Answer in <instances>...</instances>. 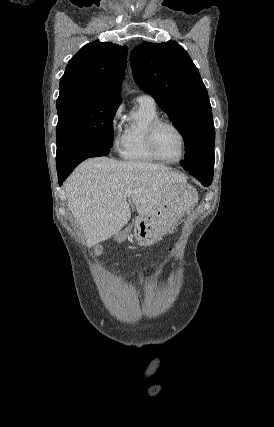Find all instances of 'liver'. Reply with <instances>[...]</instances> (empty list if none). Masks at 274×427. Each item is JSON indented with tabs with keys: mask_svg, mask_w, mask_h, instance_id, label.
Instances as JSON below:
<instances>
[{
	"mask_svg": "<svg viewBox=\"0 0 274 427\" xmlns=\"http://www.w3.org/2000/svg\"><path fill=\"white\" fill-rule=\"evenodd\" d=\"M186 178L170 168L147 162H117L90 158L67 178L68 208L80 223L87 247L120 231L131 217L126 192L139 215H147L161 202L177 200ZM186 206L184 212L192 210Z\"/></svg>",
	"mask_w": 274,
	"mask_h": 427,
	"instance_id": "obj_1",
	"label": "liver"
}]
</instances>
